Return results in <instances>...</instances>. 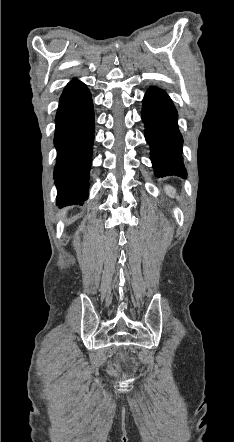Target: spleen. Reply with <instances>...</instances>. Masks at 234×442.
Masks as SVG:
<instances>
[{
  "instance_id": "3e777b00",
  "label": "spleen",
  "mask_w": 234,
  "mask_h": 442,
  "mask_svg": "<svg viewBox=\"0 0 234 442\" xmlns=\"http://www.w3.org/2000/svg\"><path fill=\"white\" fill-rule=\"evenodd\" d=\"M165 192L171 198H174L176 196V189L172 186H165Z\"/></svg>"
}]
</instances>
